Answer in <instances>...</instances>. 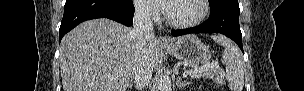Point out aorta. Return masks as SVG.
Returning <instances> with one entry per match:
<instances>
[{
    "label": "aorta",
    "instance_id": "aorta-1",
    "mask_svg": "<svg viewBox=\"0 0 304 91\" xmlns=\"http://www.w3.org/2000/svg\"><path fill=\"white\" fill-rule=\"evenodd\" d=\"M158 91H171V81L168 77L162 76L158 82Z\"/></svg>",
    "mask_w": 304,
    "mask_h": 91
}]
</instances>
